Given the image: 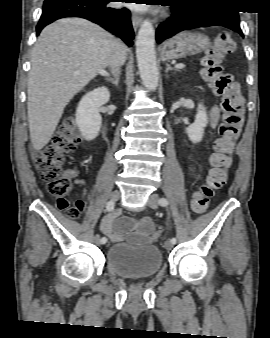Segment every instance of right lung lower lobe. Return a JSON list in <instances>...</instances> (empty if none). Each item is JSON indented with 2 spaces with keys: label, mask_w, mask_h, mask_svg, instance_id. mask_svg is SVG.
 I'll return each instance as SVG.
<instances>
[{
  "label": "right lung lower lobe",
  "mask_w": 270,
  "mask_h": 338,
  "mask_svg": "<svg viewBox=\"0 0 270 338\" xmlns=\"http://www.w3.org/2000/svg\"><path fill=\"white\" fill-rule=\"evenodd\" d=\"M116 0H45L37 34L48 24L64 17H82L120 37L128 46L133 45L134 32L130 11L107 6Z\"/></svg>",
  "instance_id": "obj_1"
}]
</instances>
